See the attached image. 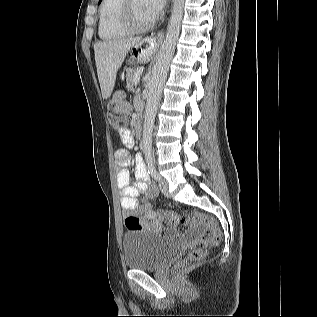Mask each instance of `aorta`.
Wrapping results in <instances>:
<instances>
[{
    "mask_svg": "<svg viewBox=\"0 0 317 317\" xmlns=\"http://www.w3.org/2000/svg\"><path fill=\"white\" fill-rule=\"evenodd\" d=\"M183 10L184 0H173L166 36L161 45L157 61L152 70V77L148 84L149 92L145 109L142 138L143 151L148 166L153 165L152 135L154 122L162 88L167 78L169 66L180 34Z\"/></svg>",
    "mask_w": 317,
    "mask_h": 317,
    "instance_id": "obj_1",
    "label": "aorta"
}]
</instances>
